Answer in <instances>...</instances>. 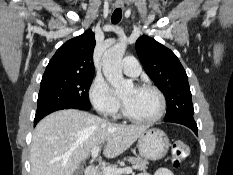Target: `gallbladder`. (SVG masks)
<instances>
[{
    "label": "gallbladder",
    "mask_w": 233,
    "mask_h": 175,
    "mask_svg": "<svg viewBox=\"0 0 233 175\" xmlns=\"http://www.w3.org/2000/svg\"><path fill=\"white\" fill-rule=\"evenodd\" d=\"M84 172V167L83 166H79L75 172H74V175H82Z\"/></svg>",
    "instance_id": "bac80fb5"
}]
</instances>
